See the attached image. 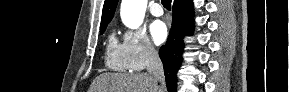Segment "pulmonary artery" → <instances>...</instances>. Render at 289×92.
Listing matches in <instances>:
<instances>
[{"instance_id": "pulmonary-artery-1", "label": "pulmonary artery", "mask_w": 289, "mask_h": 92, "mask_svg": "<svg viewBox=\"0 0 289 92\" xmlns=\"http://www.w3.org/2000/svg\"><path fill=\"white\" fill-rule=\"evenodd\" d=\"M150 12L153 16H156V17L163 15V9L158 3H153L151 5Z\"/></svg>"}]
</instances>
